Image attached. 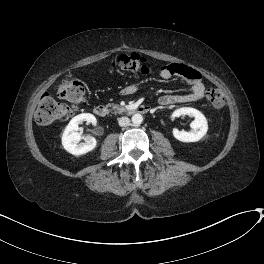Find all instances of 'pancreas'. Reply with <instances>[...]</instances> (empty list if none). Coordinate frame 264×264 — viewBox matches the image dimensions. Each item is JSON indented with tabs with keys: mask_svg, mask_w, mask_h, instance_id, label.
Here are the masks:
<instances>
[{
	"mask_svg": "<svg viewBox=\"0 0 264 264\" xmlns=\"http://www.w3.org/2000/svg\"><path fill=\"white\" fill-rule=\"evenodd\" d=\"M109 106L114 110L115 113H117V112L122 113L125 111V109L123 107H121L117 104H110Z\"/></svg>",
	"mask_w": 264,
	"mask_h": 264,
	"instance_id": "cf45deb5",
	"label": "pancreas"
}]
</instances>
